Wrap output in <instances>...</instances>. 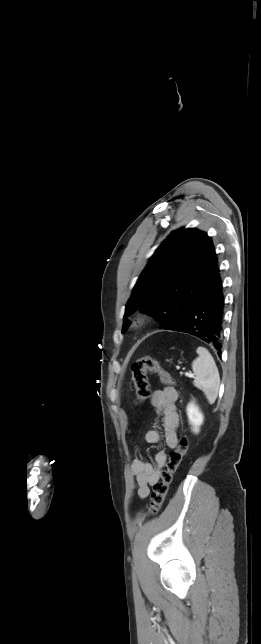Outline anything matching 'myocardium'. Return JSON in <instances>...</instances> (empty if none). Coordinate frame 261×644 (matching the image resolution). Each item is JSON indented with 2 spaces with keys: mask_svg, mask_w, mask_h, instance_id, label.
Instances as JSON below:
<instances>
[{
  "mask_svg": "<svg viewBox=\"0 0 261 644\" xmlns=\"http://www.w3.org/2000/svg\"><path fill=\"white\" fill-rule=\"evenodd\" d=\"M146 319H147V316L145 314L138 315L133 322L134 327H140L144 325V323L146 322Z\"/></svg>",
  "mask_w": 261,
  "mask_h": 644,
  "instance_id": "myocardium-1",
  "label": "myocardium"
}]
</instances>
